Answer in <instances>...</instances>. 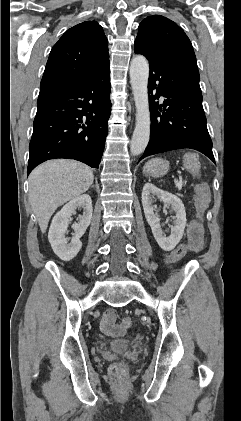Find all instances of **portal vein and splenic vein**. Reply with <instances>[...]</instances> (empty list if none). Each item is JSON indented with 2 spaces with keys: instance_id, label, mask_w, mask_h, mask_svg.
Masks as SVG:
<instances>
[{
  "instance_id": "portal-vein-and-splenic-vein-1",
  "label": "portal vein and splenic vein",
  "mask_w": 241,
  "mask_h": 421,
  "mask_svg": "<svg viewBox=\"0 0 241 421\" xmlns=\"http://www.w3.org/2000/svg\"><path fill=\"white\" fill-rule=\"evenodd\" d=\"M175 183H176V186L178 187V189L181 190L182 189V185H183L182 180H177L175 178Z\"/></svg>"
}]
</instances>
